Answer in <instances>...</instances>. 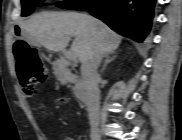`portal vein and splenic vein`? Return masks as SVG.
<instances>
[{"mask_svg":"<svg viewBox=\"0 0 182 140\" xmlns=\"http://www.w3.org/2000/svg\"><path fill=\"white\" fill-rule=\"evenodd\" d=\"M65 58L69 61H77V57L72 50L65 53Z\"/></svg>","mask_w":182,"mask_h":140,"instance_id":"portal-vein-and-splenic-vein-1","label":"portal vein and splenic vein"}]
</instances>
